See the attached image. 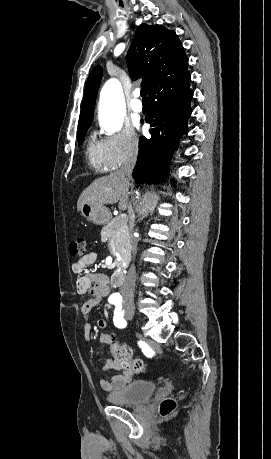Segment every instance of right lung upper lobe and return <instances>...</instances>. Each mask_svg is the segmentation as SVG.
I'll return each instance as SVG.
<instances>
[{
    "label": "right lung upper lobe",
    "instance_id": "obj_1",
    "mask_svg": "<svg viewBox=\"0 0 271 459\" xmlns=\"http://www.w3.org/2000/svg\"><path fill=\"white\" fill-rule=\"evenodd\" d=\"M130 76L142 78V85L150 94L170 77L187 71L188 59L182 43L174 31L161 25L138 26L127 55ZM100 67L92 70L87 80L80 121L93 119L94 105L101 80Z\"/></svg>",
    "mask_w": 271,
    "mask_h": 459
}]
</instances>
